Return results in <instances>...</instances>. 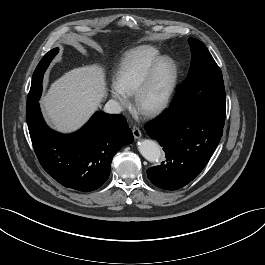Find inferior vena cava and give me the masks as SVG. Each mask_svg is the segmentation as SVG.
I'll use <instances>...</instances> for the list:
<instances>
[{"label": "inferior vena cava", "instance_id": "obj_1", "mask_svg": "<svg viewBox=\"0 0 265 265\" xmlns=\"http://www.w3.org/2000/svg\"><path fill=\"white\" fill-rule=\"evenodd\" d=\"M104 111L109 114H119L122 107L117 101L109 100L104 106Z\"/></svg>", "mask_w": 265, "mask_h": 265}]
</instances>
